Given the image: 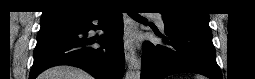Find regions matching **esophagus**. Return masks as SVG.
Instances as JSON below:
<instances>
[{"instance_id":"34e87169","label":"esophagus","mask_w":255,"mask_h":79,"mask_svg":"<svg viewBox=\"0 0 255 79\" xmlns=\"http://www.w3.org/2000/svg\"><path fill=\"white\" fill-rule=\"evenodd\" d=\"M135 26L134 21L128 16H125V32H124V53L125 59L128 63H130L132 57L134 56V49L132 45L128 41V36L133 27Z\"/></svg>"}]
</instances>
